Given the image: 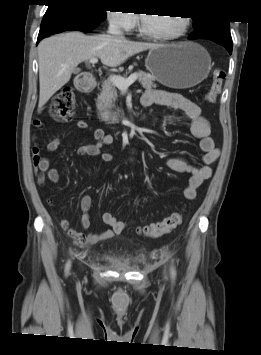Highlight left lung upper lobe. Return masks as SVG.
<instances>
[{
  "label": "left lung upper lobe",
  "instance_id": "left-lung-upper-lobe-1",
  "mask_svg": "<svg viewBox=\"0 0 261 355\" xmlns=\"http://www.w3.org/2000/svg\"><path fill=\"white\" fill-rule=\"evenodd\" d=\"M193 22L195 31L191 39L210 37L231 40L229 21L193 18Z\"/></svg>",
  "mask_w": 261,
  "mask_h": 355
}]
</instances>
